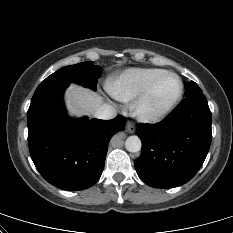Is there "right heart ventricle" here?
Listing matches in <instances>:
<instances>
[{
    "label": "right heart ventricle",
    "mask_w": 233,
    "mask_h": 233,
    "mask_svg": "<svg viewBox=\"0 0 233 233\" xmlns=\"http://www.w3.org/2000/svg\"><path fill=\"white\" fill-rule=\"evenodd\" d=\"M163 71L158 68L127 69L107 83V90L116 100L130 102Z\"/></svg>",
    "instance_id": "1"
}]
</instances>
